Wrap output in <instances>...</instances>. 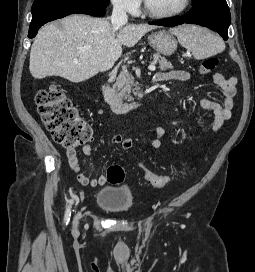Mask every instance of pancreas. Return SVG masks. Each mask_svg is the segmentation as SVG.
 <instances>
[{"mask_svg": "<svg viewBox=\"0 0 255 272\" xmlns=\"http://www.w3.org/2000/svg\"><path fill=\"white\" fill-rule=\"evenodd\" d=\"M153 60L159 63V68L162 71H166L173 67L172 63L169 62L165 57L161 56L159 53L152 55ZM113 88L118 91V94L127 101H132L134 96L141 98L142 94L139 91L140 87L138 83L135 82L134 77L128 71H121L116 79Z\"/></svg>", "mask_w": 255, "mask_h": 272, "instance_id": "cf45deb5", "label": "pancreas"}]
</instances>
